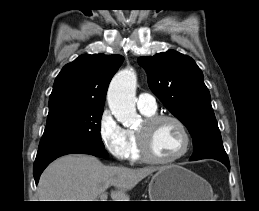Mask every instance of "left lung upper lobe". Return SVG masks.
<instances>
[{"label": "left lung upper lobe", "instance_id": "5c2ea615", "mask_svg": "<svg viewBox=\"0 0 259 211\" xmlns=\"http://www.w3.org/2000/svg\"><path fill=\"white\" fill-rule=\"evenodd\" d=\"M138 61L147 71L150 89L189 130L193 139L190 160H228L210 93L193 59L169 50Z\"/></svg>", "mask_w": 259, "mask_h": 211}]
</instances>
